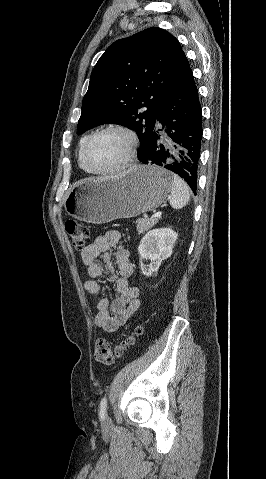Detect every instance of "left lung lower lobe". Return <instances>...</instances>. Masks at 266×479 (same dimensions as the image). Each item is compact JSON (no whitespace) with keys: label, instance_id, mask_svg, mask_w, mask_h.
<instances>
[{"label":"left lung lower lobe","instance_id":"obj_1","mask_svg":"<svg viewBox=\"0 0 266 479\" xmlns=\"http://www.w3.org/2000/svg\"><path fill=\"white\" fill-rule=\"evenodd\" d=\"M201 138V106L189 69L162 103L147 150L139 160L178 174L196 194Z\"/></svg>","mask_w":266,"mask_h":479}]
</instances>
